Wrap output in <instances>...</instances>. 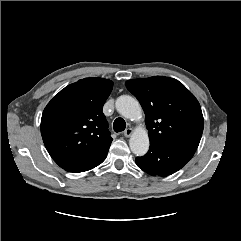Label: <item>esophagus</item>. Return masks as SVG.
Returning <instances> with one entry per match:
<instances>
[{
  "instance_id": "34e87169",
  "label": "esophagus",
  "mask_w": 241,
  "mask_h": 241,
  "mask_svg": "<svg viewBox=\"0 0 241 241\" xmlns=\"http://www.w3.org/2000/svg\"><path fill=\"white\" fill-rule=\"evenodd\" d=\"M132 133H133L132 128H127V129L124 131L123 135H124L125 137H130V136L132 135Z\"/></svg>"
}]
</instances>
